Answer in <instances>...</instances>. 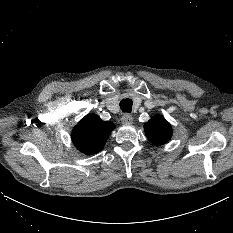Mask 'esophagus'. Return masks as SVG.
Returning <instances> with one entry per match:
<instances>
[{"label": "esophagus", "instance_id": "1", "mask_svg": "<svg viewBox=\"0 0 233 233\" xmlns=\"http://www.w3.org/2000/svg\"><path fill=\"white\" fill-rule=\"evenodd\" d=\"M123 124H132L133 117L130 114H124L121 118Z\"/></svg>", "mask_w": 233, "mask_h": 233}]
</instances>
